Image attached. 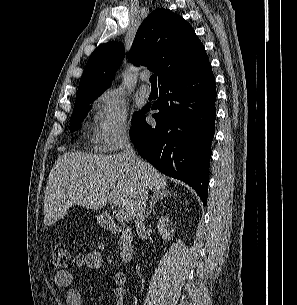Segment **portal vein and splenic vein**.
I'll use <instances>...</instances> for the list:
<instances>
[{"mask_svg": "<svg viewBox=\"0 0 297 305\" xmlns=\"http://www.w3.org/2000/svg\"><path fill=\"white\" fill-rule=\"evenodd\" d=\"M117 219L120 221H125L127 219V214L124 210L119 209L116 213Z\"/></svg>", "mask_w": 297, "mask_h": 305, "instance_id": "18ae733b", "label": "portal vein and splenic vein"}]
</instances>
